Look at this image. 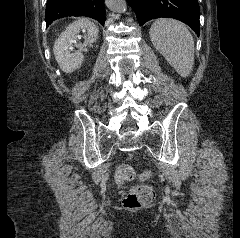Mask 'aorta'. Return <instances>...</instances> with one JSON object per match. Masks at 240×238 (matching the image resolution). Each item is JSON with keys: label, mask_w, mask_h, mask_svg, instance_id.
Returning <instances> with one entry per match:
<instances>
[{"label": "aorta", "mask_w": 240, "mask_h": 238, "mask_svg": "<svg viewBox=\"0 0 240 238\" xmlns=\"http://www.w3.org/2000/svg\"><path fill=\"white\" fill-rule=\"evenodd\" d=\"M106 4L115 12L124 13L127 10L126 0H106Z\"/></svg>", "instance_id": "obj_1"}]
</instances>
